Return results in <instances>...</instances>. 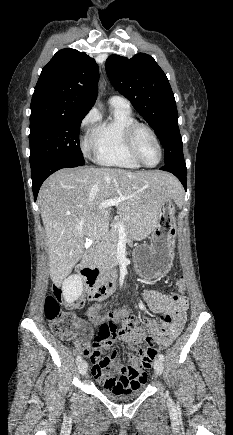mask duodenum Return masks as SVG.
I'll return each instance as SVG.
<instances>
[{
    "label": "duodenum",
    "mask_w": 233,
    "mask_h": 435,
    "mask_svg": "<svg viewBox=\"0 0 233 435\" xmlns=\"http://www.w3.org/2000/svg\"><path fill=\"white\" fill-rule=\"evenodd\" d=\"M102 241H98L82 257L78 271L84 276L87 297L91 301L105 299L110 293V284L115 281L118 274L110 271L103 274L99 268L92 265L94 253L101 247ZM90 279V282H88Z\"/></svg>",
    "instance_id": "obj_1"
}]
</instances>
